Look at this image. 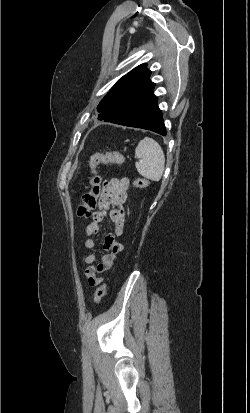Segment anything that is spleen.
Listing matches in <instances>:
<instances>
[{
  "label": "spleen",
  "instance_id": "spleen-1",
  "mask_svg": "<svg viewBox=\"0 0 250 413\" xmlns=\"http://www.w3.org/2000/svg\"><path fill=\"white\" fill-rule=\"evenodd\" d=\"M135 163L139 174L147 179L158 182L164 172L165 156L161 146L152 138L142 139L136 149Z\"/></svg>",
  "mask_w": 250,
  "mask_h": 413
}]
</instances>
